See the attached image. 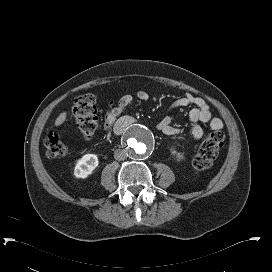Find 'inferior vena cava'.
Here are the masks:
<instances>
[{
	"label": "inferior vena cava",
	"mask_w": 272,
	"mask_h": 272,
	"mask_svg": "<svg viewBox=\"0 0 272 272\" xmlns=\"http://www.w3.org/2000/svg\"><path fill=\"white\" fill-rule=\"evenodd\" d=\"M114 158L118 161L125 160L127 158L126 152L122 149H117L114 152Z\"/></svg>",
	"instance_id": "1"
}]
</instances>
